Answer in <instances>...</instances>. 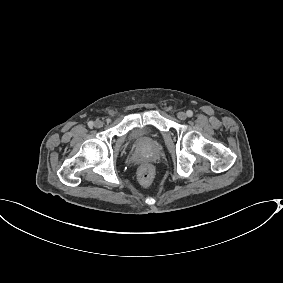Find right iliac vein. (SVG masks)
I'll use <instances>...</instances> for the list:
<instances>
[{
    "instance_id": "1",
    "label": "right iliac vein",
    "mask_w": 283,
    "mask_h": 283,
    "mask_svg": "<svg viewBox=\"0 0 283 283\" xmlns=\"http://www.w3.org/2000/svg\"><path fill=\"white\" fill-rule=\"evenodd\" d=\"M103 126V122L101 120H96L94 122V127L95 128H101Z\"/></svg>"
}]
</instances>
